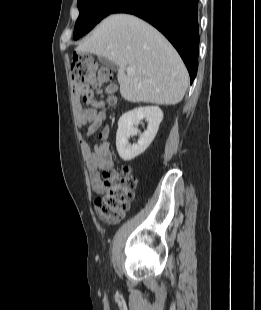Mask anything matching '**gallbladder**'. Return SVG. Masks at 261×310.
Instances as JSON below:
<instances>
[{
	"label": "gallbladder",
	"instance_id": "1",
	"mask_svg": "<svg viewBox=\"0 0 261 310\" xmlns=\"http://www.w3.org/2000/svg\"><path fill=\"white\" fill-rule=\"evenodd\" d=\"M99 61L102 65L106 66L107 68L116 70V65L111 60L107 59L106 57L100 56Z\"/></svg>",
	"mask_w": 261,
	"mask_h": 310
}]
</instances>
